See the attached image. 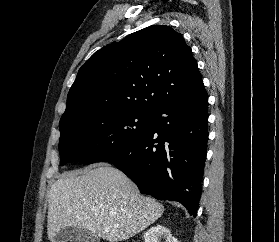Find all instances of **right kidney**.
Wrapping results in <instances>:
<instances>
[{"mask_svg": "<svg viewBox=\"0 0 279 242\" xmlns=\"http://www.w3.org/2000/svg\"><path fill=\"white\" fill-rule=\"evenodd\" d=\"M161 238H164L165 242H178V240L172 236L170 230L160 224L151 227L144 234V242H159Z\"/></svg>", "mask_w": 279, "mask_h": 242, "instance_id": "obj_1", "label": "right kidney"}]
</instances>
